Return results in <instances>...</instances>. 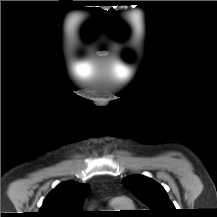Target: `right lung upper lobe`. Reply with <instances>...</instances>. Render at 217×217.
Returning a JSON list of instances; mask_svg holds the SVG:
<instances>
[{"label":"right lung upper lobe","instance_id":"right-lung-upper-lobe-1","mask_svg":"<svg viewBox=\"0 0 217 217\" xmlns=\"http://www.w3.org/2000/svg\"><path fill=\"white\" fill-rule=\"evenodd\" d=\"M89 191V184L62 182L47 195L35 217H86L82 206Z\"/></svg>","mask_w":217,"mask_h":217}]
</instances>
